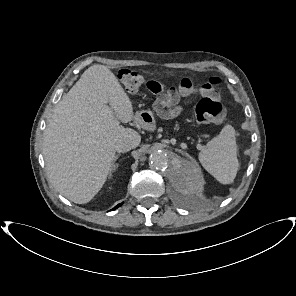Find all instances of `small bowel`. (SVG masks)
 Wrapping results in <instances>:
<instances>
[{
  "label": "small bowel",
  "mask_w": 296,
  "mask_h": 296,
  "mask_svg": "<svg viewBox=\"0 0 296 296\" xmlns=\"http://www.w3.org/2000/svg\"><path fill=\"white\" fill-rule=\"evenodd\" d=\"M217 83L216 80H211L206 83L207 89H198L201 93L210 95L212 97L216 96L214 91V85ZM147 87L150 91L157 93L158 98L155 103V109L157 113L164 118H171L178 115L182 108L180 106L181 93L175 89L165 90L164 87L156 82L150 81L147 84ZM195 91L194 89L190 91H182L183 93H190Z\"/></svg>",
  "instance_id": "1"
}]
</instances>
